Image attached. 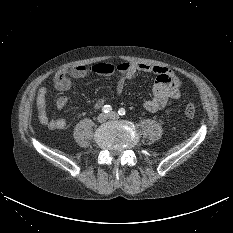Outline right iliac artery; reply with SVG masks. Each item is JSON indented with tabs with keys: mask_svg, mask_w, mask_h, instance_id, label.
<instances>
[{
	"mask_svg": "<svg viewBox=\"0 0 233 233\" xmlns=\"http://www.w3.org/2000/svg\"><path fill=\"white\" fill-rule=\"evenodd\" d=\"M112 110V107L110 106V105H105V106H103V108H102V112H104V113H108V112H110Z\"/></svg>",
	"mask_w": 233,
	"mask_h": 233,
	"instance_id": "obj_1",
	"label": "right iliac artery"
}]
</instances>
